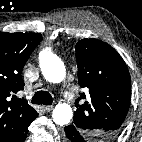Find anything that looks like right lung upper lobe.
Returning <instances> with one entry per match:
<instances>
[{
	"instance_id": "1",
	"label": "right lung upper lobe",
	"mask_w": 142,
	"mask_h": 142,
	"mask_svg": "<svg viewBox=\"0 0 142 142\" xmlns=\"http://www.w3.org/2000/svg\"><path fill=\"white\" fill-rule=\"evenodd\" d=\"M41 40V34L0 32V142H24L38 116L15 94L23 90V67Z\"/></svg>"
}]
</instances>
